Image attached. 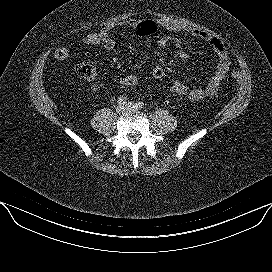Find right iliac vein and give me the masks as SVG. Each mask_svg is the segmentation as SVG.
<instances>
[{"instance_id": "63e3f726", "label": "right iliac vein", "mask_w": 272, "mask_h": 272, "mask_svg": "<svg viewBox=\"0 0 272 272\" xmlns=\"http://www.w3.org/2000/svg\"><path fill=\"white\" fill-rule=\"evenodd\" d=\"M124 110H125L124 105H118L116 107V112L119 113V114L122 113V112H124Z\"/></svg>"}]
</instances>
